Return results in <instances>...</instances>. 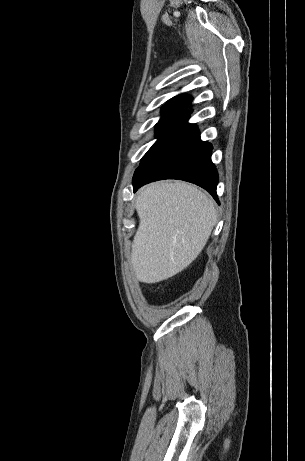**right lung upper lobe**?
<instances>
[{
	"label": "right lung upper lobe",
	"instance_id": "1",
	"mask_svg": "<svg viewBox=\"0 0 305 461\" xmlns=\"http://www.w3.org/2000/svg\"><path fill=\"white\" fill-rule=\"evenodd\" d=\"M191 101H192L191 96L179 95V96H176V97L170 99L167 102V104L163 106V108L164 107H176V108H184V109H186V107L190 106Z\"/></svg>",
	"mask_w": 305,
	"mask_h": 461
}]
</instances>
